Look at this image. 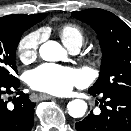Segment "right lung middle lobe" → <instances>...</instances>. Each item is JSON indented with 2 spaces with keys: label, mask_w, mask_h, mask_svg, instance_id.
Masks as SVG:
<instances>
[{
  "label": "right lung middle lobe",
  "mask_w": 131,
  "mask_h": 131,
  "mask_svg": "<svg viewBox=\"0 0 131 131\" xmlns=\"http://www.w3.org/2000/svg\"><path fill=\"white\" fill-rule=\"evenodd\" d=\"M28 28L0 25V82L15 79V51L21 35Z\"/></svg>",
  "instance_id": "obj_1"
}]
</instances>
